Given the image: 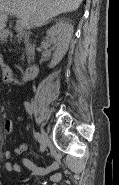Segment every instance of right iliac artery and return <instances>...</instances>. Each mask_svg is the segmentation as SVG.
I'll return each mask as SVG.
<instances>
[{"instance_id": "obj_1", "label": "right iliac artery", "mask_w": 119, "mask_h": 185, "mask_svg": "<svg viewBox=\"0 0 119 185\" xmlns=\"http://www.w3.org/2000/svg\"><path fill=\"white\" fill-rule=\"evenodd\" d=\"M24 106H25L27 112L29 114H31L32 113V106L30 105V103L29 102H24ZM31 118H34V115H31ZM34 136H35L36 140L40 143L41 142L40 134L38 132H35Z\"/></svg>"}]
</instances>
